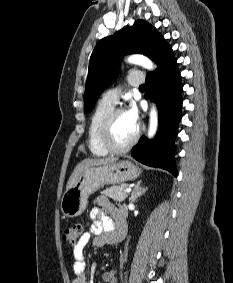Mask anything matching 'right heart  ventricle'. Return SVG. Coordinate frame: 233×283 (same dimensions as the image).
<instances>
[{
	"instance_id": "right-heart-ventricle-1",
	"label": "right heart ventricle",
	"mask_w": 233,
	"mask_h": 283,
	"mask_svg": "<svg viewBox=\"0 0 233 283\" xmlns=\"http://www.w3.org/2000/svg\"><path fill=\"white\" fill-rule=\"evenodd\" d=\"M114 108V105L100 101L91 114L87 130V145L88 149L94 156H106L109 152L106 151L100 142V130L107 115Z\"/></svg>"
}]
</instances>
